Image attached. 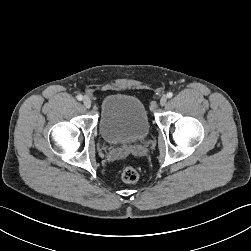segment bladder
Instances as JSON below:
<instances>
[{
    "label": "bladder",
    "instance_id": "31cf9c89",
    "mask_svg": "<svg viewBox=\"0 0 251 251\" xmlns=\"http://www.w3.org/2000/svg\"><path fill=\"white\" fill-rule=\"evenodd\" d=\"M99 131L109 144H125L145 139L150 124L142 101L133 95L115 93L101 104Z\"/></svg>",
    "mask_w": 251,
    "mask_h": 251
}]
</instances>
